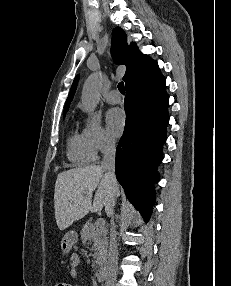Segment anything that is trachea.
Wrapping results in <instances>:
<instances>
[{
	"label": "trachea",
	"mask_w": 231,
	"mask_h": 286,
	"mask_svg": "<svg viewBox=\"0 0 231 286\" xmlns=\"http://www.w3.org/2000/svg\"><path fill=\"white\" fill-rule=\"evenodd\" d=\"M118 89L119 91L122 93V94H125V88H124V83L123 82H120L118 84Z\"/></svg>",
	"instance_id": "1"
}]
</instances>
